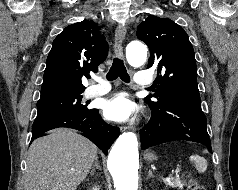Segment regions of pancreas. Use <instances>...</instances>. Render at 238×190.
<instances>
[{
	"instance_id": "pancreas-1",
	"label": "pancreas",
	"mask_w": 238,
	"mask_h": 190,
	"mask_svg": "<svg viewBox=\"0 0 238 190\" xmlns=\"http://www.w3.org/2000/svg\"><path fill=\"white\" fill-rule=\"evenodd\" d=\"M166 185L172 187V188H182L183 184L181 183V180L177 178H171L169 181H164Z\"/></svg>"
}]
</instances>
